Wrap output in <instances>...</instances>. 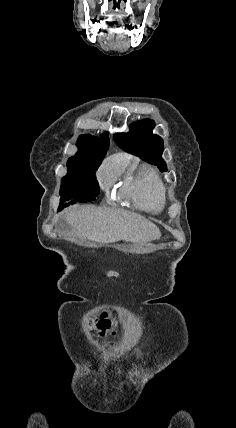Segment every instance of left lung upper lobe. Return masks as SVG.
<instances>
[{"label":"left lung upper lobe","instance_id":"5c2ea615","mask_svg":"<svg viewBox=\"0 0 236 428\" xmlns=\"http://www.w3.org/2000/svg\"><path fill=\"white\" fill-rule=\"evenodd\" d=\"M153 128L154 121L145 119L135 123L130 132L115 134L114 140L124 151L134 154L148 163L157 165L162 172H165L167 167L161 157L163 140L152 133Z\"/></svg>","mask_w":236,"mask_h":428}]
</instances>
